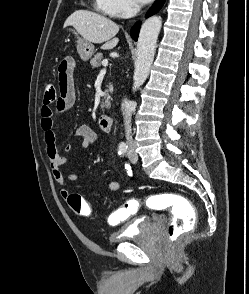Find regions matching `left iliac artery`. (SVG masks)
<instances>
[{"label": "left iliac artery", "instance_id": "1", "mask_svg": "<svg viewBox=\"0 0 249 294\" xmlns=\"http://www.w3.org/2000/svg\"><path fill=\"white\" fill-rule=\"evenodd\" d=\"M125 168L128 170L127 172H128V175H132V172H131V169H130V166L129 165H127V164H125Z\"/></svg>", "mask_w": 249, "mask_h": 294}]
</instances>
